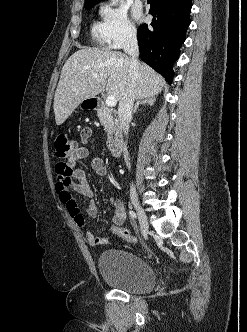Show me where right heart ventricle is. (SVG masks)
I'll list each match as a JSON object with an SVG mask.
<instances>
[{"mask_svg": "<svg viewBox=\"0 0 247 332\" xmlns=\"http://www.w3.org/2000/svg\"><path fill=\"white\" fill-rule=\"evenodd\" d=\"M91 34L93 39L103 47L108 46V42L104 33L103 24L98 21H94L91 25Z\"/></svg>", "mask_w": 247, "mask_h": 332, "instance_id": "right-heart-ventricle-1", "label": "right heart ventricle"}]
</instances>
